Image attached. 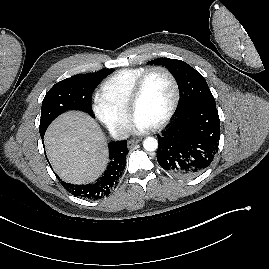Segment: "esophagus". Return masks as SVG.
<instances>
[{"label":"esophagus","mask_w":269,"mask_h":269,"mask_svg":"<svg viewBox=\"0 0 269 269\" xmlns=\"http://www.w3.org/2000/svg\"><path fill=\"white\" fill-rule=\"evenodd\" d=\"M140 142V140L139 139H136V140H129L128 142H127V147L128 148H132V147H134L137 143H139Z\"/></svg>","instance_id":"1"}]
</instances>
